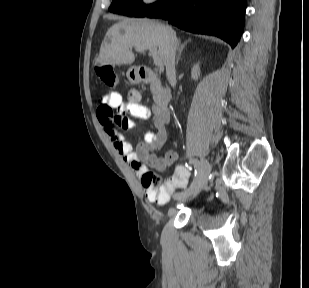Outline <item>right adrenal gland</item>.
I'll use <instances>...</instances> for the list:
<instances>
[{"mask_svg":"<svg viewBox=\"0 0 309 288\" xmlns=\"http://www.w3.org/2000/svg\"><path fill=\"white\" fill-rule=\"evenodd\" d=\"M191 39L186 40L183 44H181V41H178V56H177V60H176V64H178L180 57H181V53L184 49V47L187 45L188 42H190Z\"/></svg>","mask_w":309,"mask_h":288,"instance_id":"right-adrenal-gland-1","label":"right adrenal gland"}]
</instances>
